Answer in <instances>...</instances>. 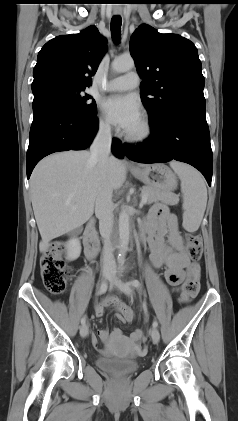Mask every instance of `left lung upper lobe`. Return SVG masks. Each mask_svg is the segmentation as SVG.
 <instances>
[{"mask_svg":"<svg viewBox=\"0 0 238 421\" xmlns=\"http://www.w3.org/2000/svg\"><path fill=\"white\" fill-rule=\"evenodd\" d=\"M130 52L143 81L140 92L156 125L174 106L204 100L205 80L195 45L176 34H161L143 24L132 34Z\"/></svg>","mask_w":238,"mask_h":421,"instance_id":"1","label":"left lung upper lobe"}]
</instances>
